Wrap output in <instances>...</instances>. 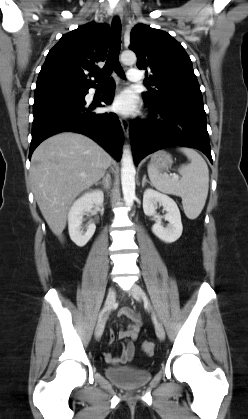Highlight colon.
Wrapping results in <instances>:
<instances>
[{
  "instance_id": "5ec220e1",
  "label": "colon",
  "mask_w": 248,
  "mask_h": 419,
  "mask_svg": "<svg viewBox=\"0 0 248 419\" xmlns=\"http://www.w3.org/2000/svg\"><path fill=\"white\" fill-rule=\"evenodd\" d=\"M142 348L145 353L152 354L154 351V343L146 340L142 343Z\"/></svg>"
}]
</instances>
